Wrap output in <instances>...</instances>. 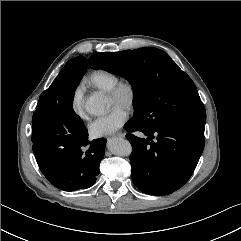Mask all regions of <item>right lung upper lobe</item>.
<instances>
[{"instance_id": "cb5924a9", "label": "right lung upper lobe", "mask_w": 241, "mask_h": 241, "mask_svg": "<svg viewBox=\"0 0 241 241\" xmlns=\"http://www.w3.org/2000/svg\"><path fill=\"white\" fill-rule=\"evenodd\" d=\"M87 69V60L83 56L75 57L69 60L64 68L61 70L59 74L67 73V72H78L82 73Z\"/></svg>"}]
</instances>
